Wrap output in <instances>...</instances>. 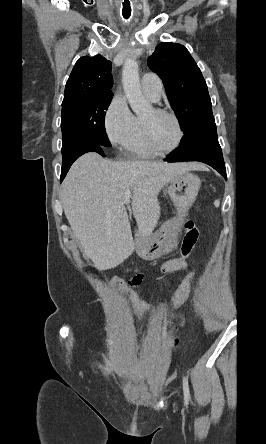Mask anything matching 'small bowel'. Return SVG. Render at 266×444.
<instances>
[{
	"instance_id": "obj_1",
	"label": "small bowel",
	"mask_w": 266,
	"mask_h": 444,
	"mask_svg": "<svg viewBox=\"0 0 266 444\" xmlns=\"http://www.w3.org/2000/svg\"><path fill=\"white\" fill-rule=\"evenodd\" d=\"M198 239V231L192 222H187L185 225V233L181 239L180 256L170 260L162 265L161 271L165 275H174L177 271L186 270L188 268V259ZM143 274H136L131 280V286L135 287L141 284ZM185 318H182L181 325H184Z\"/></svg>"
}]
</instances>
